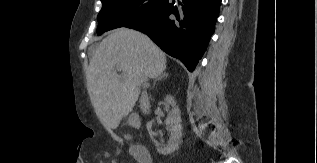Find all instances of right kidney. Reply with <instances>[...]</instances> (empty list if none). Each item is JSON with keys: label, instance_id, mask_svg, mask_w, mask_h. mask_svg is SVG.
Listing matches in <instances>:
<instances>
[{"label": "right kidney", "instance_id": "1", "mask_svg": "<svg viewBox=\"0 0 317 163\" xmlns=\"http://www.w3.org/2000/svg\"><path fill=\"white\" fill-rule=\"evenodd\" d=\"M165 101L173 106L172 111L167 116L165 123L170 127V140L166 147H158L157 151L160 154L168 155L179 149V144L182 142V125H181V112L172 96L167 95Z\"/></svg>", "mask_w": 317, "mask_h": 163}]
</instances>
